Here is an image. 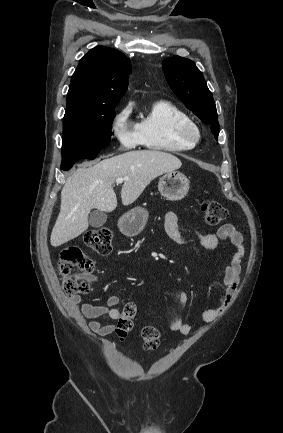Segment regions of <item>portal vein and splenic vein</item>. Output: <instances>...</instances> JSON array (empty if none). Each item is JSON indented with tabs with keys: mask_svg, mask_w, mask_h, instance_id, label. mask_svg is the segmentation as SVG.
Instances as JSON below:
<instances>
[{
	"mask_svg": "<svg viewBox=\"0 0 283 433\" xmlns=\"http://www.w3.org/2000/svg\"><path fill=\"white\" fill-rule=\"evenodd\" d=\"M129 176H123V178H116L117 184H120V182H123V180H128Z\"/></svg>",
	"mask_w": 283,
	"mask_h": 433,
	"instance_id": "portal-vein-and-splenic-vein-1",
	"label": "portal vein and splenic vein"
}]
</instances>
